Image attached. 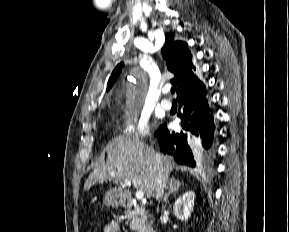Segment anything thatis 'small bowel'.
Here are the masks:
<instances>
[{"label":"small bowel","mask_w":289,"mask_h":232,"mask_svg":"<svg viewBox=\"0 0 289 232\" xmlns=\"http://www.w3.org/2000/svg\"><path fill=\"white\" fill-rule=\"evenodd\" d=\"M120 231V226L119 223L116 221H112L108 223L105 227L103 232H119Z\"/></svg>","instance_id":"c3829d8e"}]
</instances>
